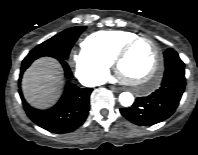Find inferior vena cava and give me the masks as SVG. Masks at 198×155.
<instances>
[{"label": "inferior vena cava", "instance_id": "obj_1", "mask_svg": "<svg viewBox=\"0 0 198 155\" xmlns=\"http://www.w3.org/2000/svg\"><path fill=\"white\" fill-rule=\"evenodd\" d=\"M104 83H105L104 80L96 79V78L85 79L84 81H82V84H84L85 86H88V87L99 86Z\"/></svg>", "mask_w": 198, "mask_h": 155}]
</instances>
